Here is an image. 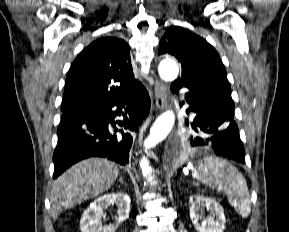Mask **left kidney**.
Returning <instances> with one entry per match:
<instances>
[{"instance_id":"obj_1","label":"left kidney","mask_w":289,"mask_h":232,"mask_svg":"<svg viewBox=\"0 0 289 232\" xmlns=\"http://www.w3.org/2000/svg\"><path fill=\"white\" fill-rule=\"evenodd\" d=\"M189 209L191 221L197 231L223 232L225 229L224 210L215 199L192 195L189 199Z\"/></svg>"}]
</instances>
